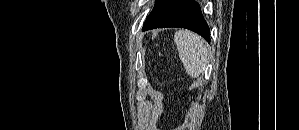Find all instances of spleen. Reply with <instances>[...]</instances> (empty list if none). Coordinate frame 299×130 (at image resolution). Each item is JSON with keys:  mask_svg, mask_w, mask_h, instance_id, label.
Masks as SVG:
<instances>
[{"mask_svg": "<svg viewBox=\"0 0 299 130\" xmlns=\"http://www.w3.org/2000/svg\"><path fill=\"white\" fill-rule=\"evenodd\" d=\"M174 42L187 74L198 78L206 68L209 50L204 40L188 30H179Z\"/></svg>", "mask_w": 299, "mask_h": 130, "instance_id": "3e777b00", "label": "spleen"}]
</instances>
